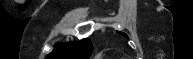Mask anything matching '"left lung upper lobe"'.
<instances>
[{"instance_id": "1", "label": "left lung upper lobe", "mask_w": 193, "mask_h": 59, "mask_svg": "<svg viewBox=\"0 0 193 59\" xmlns=\"http://www.w3.org/2000/svg\"><path fill=\"white\" fill-rule=\"evenodd\" d=\"M118 33H119L120 35H123V36H125V37L128 38V36H127L125 33H122V32H119V31H118Z\"/></svg>"}]
</instances>
